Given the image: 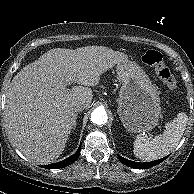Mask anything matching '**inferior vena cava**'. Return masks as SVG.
Here are the masks:
<instances>
[{"label":"inferior vena cava","mask_w":194,"mask_h":194,"mask_svg":"<svg viewBox=\"0 0 194 194\" xmlns=\"http://www.w3.org/2000/svg\"><path fill=\"white\" fill-rule=\"evenodd\" d=\"M84 108H85V105L82 104V103H77V104H75V105L73 106V110H74L75 112H81V111L84 110Z\"/></svg>","instance_id":"1"}]
</instances>
